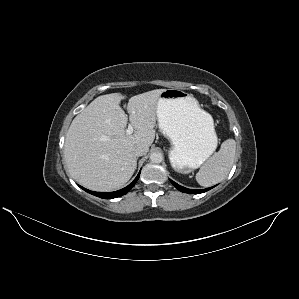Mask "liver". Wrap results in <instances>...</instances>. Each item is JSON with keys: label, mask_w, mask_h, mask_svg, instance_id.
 I'll return each mask as SVG.
<instances>
[{"label": "liver", "mask_w": 299, "mask_h": 299, "mask_svg": "<svg viewBox=\"0 0 299 299\" xmlns=\"http://www.w3.org/2000/svg\"><path fill=\"white\" fill-rule=\"evenodd\" d=\"M165 89L131 97L127 110L135 129L127 135V115L120 106L121 93L94 99L72 121L65 138L64 159L72 178L94 191H113L132 177L137 145H152L157 121V102ZM107 138L104 140V138Z\"/></svg>", "instance_id": "liver-1"}]
</instances>
